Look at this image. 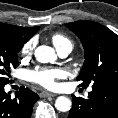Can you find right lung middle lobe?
Wrapping results in <instances>:
<instances>
[{"label": "right lung middle lobe", "instance_id": "obj_1", "mask_svg": "<svg viewBox=\"0 0 118 118\" xmlns=\"http://www.w3.org/2000/svg\"><path fill=\"white\" fill-rule=\"evenodd\" d=\"M26 42L22 37L0 31V85L10 82V70L18 66L17 53Z\"/></svg>", "mask_w": 118, "mask_h": 118}]
</instances>
